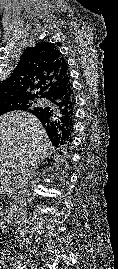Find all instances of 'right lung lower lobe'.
I'll list each match as a JSON object with an SVG mask.
<instances>
[{
	"label": "right lung lower lobe",
	"mask_w": 118,
	"mask_h": 269,
	"mask_svg": "<svg viewBox=\"0 0 118 269\" xmlns=\"http://www.w3.org/2000/svg\"><path fill=\"white\" fill-rule=\"evenodd\" d=\"M69 92L72 95V102H73V108H74V98H73L72 84H71V86L69 88ZM73 115H74V113H73ZM73 115H72L71 124H70V127L68 128V130H66V131L61 130L57 134V136H56V138L54 140L50 139L54 146L64 147L65 145H69V143L72 141L71 133L73 132Z\"/></svg>",
	"instance_id": "obj_1"
}]
</instances>
